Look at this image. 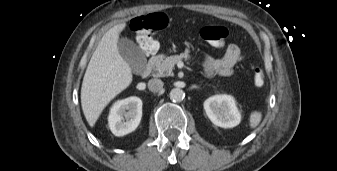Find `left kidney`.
<instances>
[{
    "label": "left kidney",
    "instance_id": "obj_1",
    "mask_svg": "<svg viewBox=\"0 0 337 171\" xmlns=\"http://www.w3.org/2000/svg\"><path fill=\"white\" fill-rule=\"evenodd\" d=\"M204 109L211 122L222 128H232L240 123L241 115L231 95H214L204 102Z\"/></svg>",
    "mask_w": 337,
    "mask_h": 171
}]
</instances>
